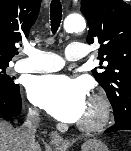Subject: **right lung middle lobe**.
<instances>
[{"instance_id":"right-lung-middle-lobe-1","label":"right lung middle lobe","mask_w":131,"mask_h":151,"mask_svg":"<svg viewBox=\"0 0 131 151\" xmlns=\"http://www.w3.org/2000/svg\"><path fill=\"white\" fill-rule=\"evenodd\" d=\"M8 64H0V90H10L18 86L14 83V78L6 74Z\"/></svg>"}]
</instances>
